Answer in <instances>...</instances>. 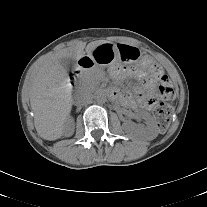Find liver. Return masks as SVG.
Here are the masks:
<instances>
[{"label": "liver", "mask_w": 207, "mask_h": 207, "mask_svg": "<svg viewBox=\"0 0 207 207\" xmlns=\"http://www.w3.org/2000/svg\"><path fill=\"white\" fill-rule=\"evenodd\" d=\"M97 40L85 44H77L60 50L43 60L32 72L29 79V99L34 112L35 128L45 140H57L64 132V125L72 109V88L69 84V75L60 64V59L71 58L79 60L96 47L105 43Z\"/></svg>", "instance_id": "1"}]
</instances>
